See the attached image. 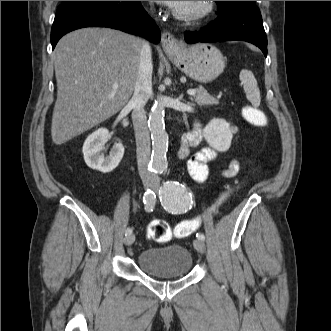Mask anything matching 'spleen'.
I'll return each instance as SVG.
<instances>
[{
    "label": "spleen",
    "instance_id": "obj_1",
    "mask_svg": "<svg viewBox=\"0 0 331 331\" xmlns=\"http://www.w3.org/2000/svg\"><path fill=\"white\" fill-rule=\"evenodd\" d=\"M239 79L243 85L247 99L254 107H258L260 105L261 97L257 80L255 79L253 73L244 69L240 72Z\"/></svg>",
    "mask_w": 331,
    "mask_h": 331
}]
</instances>
